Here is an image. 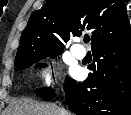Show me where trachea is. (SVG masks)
<instances>
[{"instance_id": "trachea-1", "label": "trachea", "mask_w": 131, "mask_h": 115, "mask_svg": "<svg viewBox=\"0 0 131 115\" xmlns=\"http://www.w3.org/2000/svg\"><path fill=\"white\" fill-rule=\"evenodd\" d=\"M89 41H90V37H85V38H84V42H85V43H89Z\"/></svg>"}]
</instances>
